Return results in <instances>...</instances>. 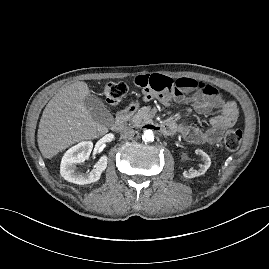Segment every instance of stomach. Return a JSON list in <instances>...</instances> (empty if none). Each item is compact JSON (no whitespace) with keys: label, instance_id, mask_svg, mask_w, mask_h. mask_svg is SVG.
<instances>
[{"label":"stomach","instance_id":"1","mask_svg":"<svg viewBox=\"0 0 269 269\" xmlns=\"http://www.w3.org/2000/svg\"><path fill=\"white\" fill-rule=\"evenodd\" d=\"M134 105H135V106H138V104H137V103H134Z\"/></svg>","mask_w":269,"mask_h":269}]
</instances>
